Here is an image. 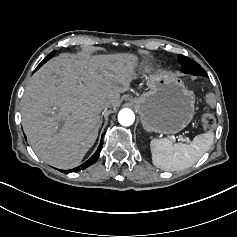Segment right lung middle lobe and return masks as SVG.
<instances>
[{
	"mask_svg": "<svg viewBox=\"0 0 237 237\" xmlns=\"http://www.w3.org/2000/svg\"><path fill=\"white\" fill-rule=\"evenodd\" d=\"M54 54H55V51L51 52V53L39 64V66L36 68V70H37L40 66H42L44 63H46L52 56H54Z\"/></svg>",
	"mask_w": 237,
	"mask_h": 237,
	"instance_id": "dd1d6c3e",
	"label": "right lung middle lobe"
}]
</instances>
